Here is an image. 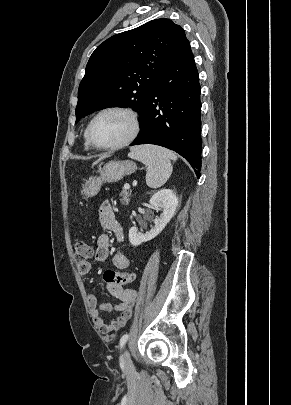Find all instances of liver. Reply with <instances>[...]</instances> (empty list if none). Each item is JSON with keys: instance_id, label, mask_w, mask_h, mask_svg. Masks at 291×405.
Returning <instances> with one entry per match:
<instances>
[{"instance_id": "liver-1", "label": "liver", "mask_w": 291, "mask_h": 405, "mask_svg": "<svg viewBox=\"0 0 291 405\" xmlns=\"http://www.w3.org/2000/svg\"><path fill=\"white\" fill-rule=\"evenodd\" d=\"M101 159L97 160L94 164H97Z\"/></svg>"}]
</instances>
